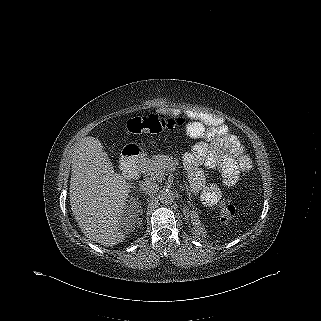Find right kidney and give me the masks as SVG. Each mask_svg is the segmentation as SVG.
<instances>
[{"instance_id":"ca27d5eb","label":"right kidney","mask_w":321,"mask_h":321,"mask_svg":"<svg viewBox=\"0 0 321 321\" xmlns=\"http://www.w3.org/2000/svg\"><path fill=\"white\" fill-rule=\"evenodd\" d=\"M128 218H134V215H130V216H128ZM128 218H126V219H127V222H129V225H130L129 227L133 228L130 223V221H132V219L128 220Z\"/></svg>"}]
</instances>
